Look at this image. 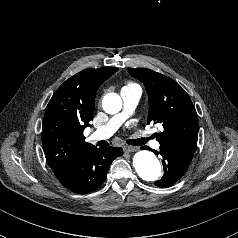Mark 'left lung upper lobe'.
I'll return each instance as SVG.
<instances>
[{
	"mask_svg": "<svg viewBox=\"0 0 238 238\" xmlns=\"http://www.w3.org/2000/svg\"><path fill=\"white\" fill-rule=\"evenodd\" d=\"M140 80L149 99L148 123H161L160 145L196 150L198 117L186 91L174 80L145 68H128Z\"/></svg>",
	"mask_w": 238,
	"mask_h": 238,
	"instance_id": "obj_1",
	"label": "left lung upper lobe"
}]
</instances>
